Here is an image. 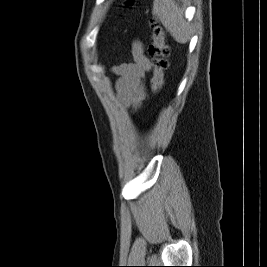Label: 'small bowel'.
<instances>
[{
    "mask_svg": "<svg viewBox=\"0 0 267 267\" xmlns=\"http://www.w3.org/2000/svg\"><path fill=\"white\" fill-rule=\"evenodd\" d=\"M132 56V62L116 65L112 70L118 76L116 89L119 101L128 108L137 109L146 97L142 82L151 64L140 41L133 42Z\"/></svg>",
    "mask_w": 267,
    "mask_h": 267,
    "instance_id": "obj_1",
    "label": "small bowel"
}]
</instances>
